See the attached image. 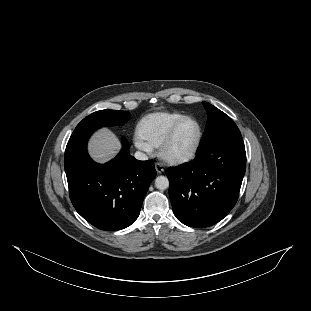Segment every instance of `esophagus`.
<instances>
[{"instance_id": "esophagus-1", "label": "esophagus", "mask_w": 311, "mask_h": 311, "mask_svg": "<svg viewBox=\"0 0 311 311\" xmlns=\"http://www.w3.org/2000/svg\"><path fill=\"white\" fill-rule=\"evenodd\" d=\"M155 169H156L158 174H162L165 171L163 164L160 162L155 163Z\"/></svg>"}]
</instances>
